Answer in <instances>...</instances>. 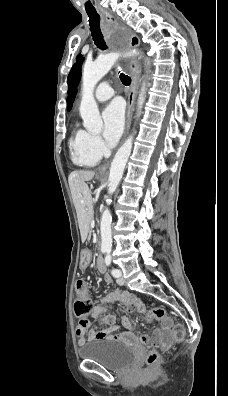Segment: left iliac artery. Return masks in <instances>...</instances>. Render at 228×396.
<instances>
[{
	"label": "left iliac artery",
	"instance_id": "44dca946",
	"mask_svg": "<svg viewBox=\"0 0 228 396\" xmlns=\"http://www.w3.org/2000/svg\"><path fill=\"white\" fill-rule=\"evenodd\" d=\"M105 263L107 266H109L111 264V256H110L109 252L107 253V255L105 257ZM111 274L113 275V277L118 278L121 275V272L118 269L112 268Z\"/></svg>",
	"mask_w": 228,
	"mask_h": 396
}]
</instances>
